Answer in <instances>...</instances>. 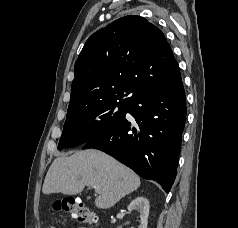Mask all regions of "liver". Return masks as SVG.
<instances>
[{
  "instance_id": "liver-1",
  "label": "liver",
  "mask_w": 238,
  "mask_h": 228,
  "mask_svg": "<svg viewBox=\"0 0 238 228\" xmlns=\"http://www.w3.org/2000/svg\"><path fill=\"white\" fill-rule=\"evenodd\" d=\"M140 184V178L131 169L99 150L89 149L57 157L46 174L42 191L45 195H76L85 186L96 187L95 205L108 209Z\"/></svg>"
}]
</instances>
